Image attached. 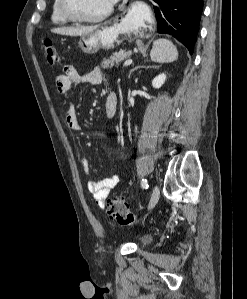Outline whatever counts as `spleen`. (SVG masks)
Wrapping results in <instances>:
<instances>
[{"label":"spleen","instance_id":"3e777b00","mask_svg":"<svg viewBox=\"0 0 247 299\" xmlns=\"http://www.w3.org/2000/svg\"><path fill=\"white\" fill-rule=\"evenodd\" d=\"M150 57L156 63H170L177 60L178 51L170 40L157 39L153 42Z\"/></svg>","mask_w":247,"mask_h":299}]
</instances>
